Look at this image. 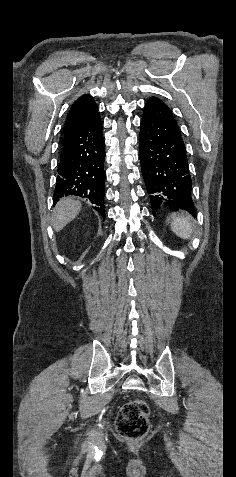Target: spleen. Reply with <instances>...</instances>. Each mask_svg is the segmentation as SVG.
<instances>
[{
    "label": "spleen",
    "mask_w": 236,
    "mask_h": 477,
    "mask_svg": "<svg viewBox=\"0 0 236 477\" xmlns=\"http://www.w3.org/2000/svg\"><path fill=\"white\" fill-rule=\"evenodd\" d=\"M172 230L181 238L188 239L192 233V223L187 217L179 216L171 222Z\"/></svg>",
    "instance_id": "1"
}]
</instances>
